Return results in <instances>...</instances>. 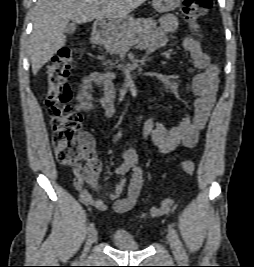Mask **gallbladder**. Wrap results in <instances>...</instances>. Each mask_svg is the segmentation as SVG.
<instances>
[{"mask_svg":"<svg viewBox=\"0 0 254 267\" xmlns=\"http://www.w3.org/2000/svg\"><path fill=\"white\" fill-rule=\"evenodd\" d=\"M75 30H76V24H74V23H70V24H68V25L66 26V28H65V32H66L67 34H72V33H74Z\"/></svg>","mask_w":254,"mask_h":267,"instance_id":"gallbladder-1","label":"gallbladder"}]
</instances>
